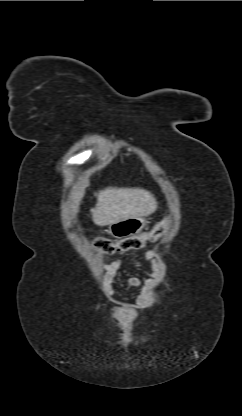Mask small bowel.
Listing matches in <instances>:
<instances>
[{
	"label": "small bowel",
	"mask_w": 242,
	"mask_h": 416,
	"mask_svg": "<svg viewBox=\"0 0 242 416\" xmlns=\"http://www.w3.org/2000/svg\"><path fill=\"white\" fill-rule=\"evenodd\" d=\"M145 261L148 263V268L146 270V275L144 277H130L128 283L131 287L140 289V294L134 299H122L119 298L118 301L121 305L118 310V316L121 319H127L134 317L138 310L146 305L149 298V288L153 283V279L156 275V270L154 268L155 253L152 250H147L144 255ZM122 260L117 259L109 264L104 266V271L106 279L108 281L112 280L119 269L121 268Z\"/></svg>",
	"instance_id": "1"
}]
</instances>
